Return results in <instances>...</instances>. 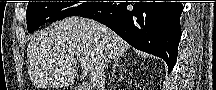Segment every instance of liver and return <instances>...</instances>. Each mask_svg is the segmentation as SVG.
<instances>
[{"mask_svg": "<svg viewBox=\"0 0 216 90\" xmlns=\"http://www.w3.org/2000/svg\"><path fill=\"white\" fill-rule=\"evenodd\" d=\"M130 46L113 30L87 18H66L33 36L27 48L28 76L34 88H71L78 74H89L92 90L104 60L121 58ZM85 90V88H84Z\"/></svg>", "mask_w": 216, "mask_h": 90, "instance_id": "1", "label": "liver"}]
</instances>
